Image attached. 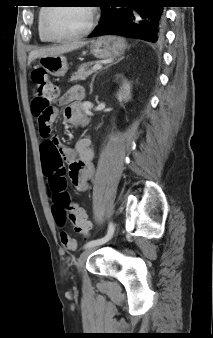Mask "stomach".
I'll list each match as a JSON object with an SVG mask.
<instances>
[{
	"mask_svg": "<svg viewBox=\"0 0 213 338\" xmlns=\"http://www.w3.org/2000/svg\"><path fill=\"white\" fill-rule=\"evenodd\" d=\"M91 54L98 59H115L125 52L127 44L122 37L102 36L89 43ZM39 66L55 77L67 72V61L62 55L39 58Z\"/></svg>",
	"mask_w": 213,
	"mask_h": 338,
	"instance_id": "1",
	"label": "stomach"
}]
</instances>
